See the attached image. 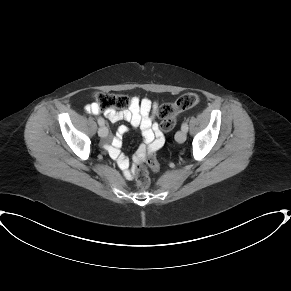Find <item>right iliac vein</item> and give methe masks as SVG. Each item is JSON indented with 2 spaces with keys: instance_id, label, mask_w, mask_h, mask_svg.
<instances>
[{
  "instance_id": "63e3f726",
  "label": "right iliac vein",
  "mask_w": 291,
  "mask_h": 291,
  "mask_svg": "<svg viewBox=\"0 0 291 291\" xmlns=\"http://www.w3.org/2000/svg\"><path fill=\"white\" fill-rule=\"evenodd\" d=\"M98 135L100 137H106L108 135V129L105 126H102L98 129Z\"/></svg>"
}]
</instances>
